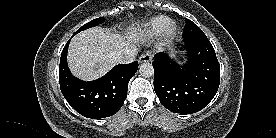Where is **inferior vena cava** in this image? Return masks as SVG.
I'll return each mask as SVG.
<instances>
[{
    "label": "inferior vena cava",
    "instance_id": "inferior-vena-cava-1",
    "mask_svg": "<svg viewBox=\"0 0 276 138\" xmlns=\"http://www.w3.org/2000/svg\"><path fill=\"white\" fill-rule=\"evenodd\" d=\"M136 54H137L136 48L126 47L119 50L115 54V60L117 63H120V64H129L134 61Z\"/></svg>",
    "mask_w": 276,
    "mask_h": 138
}]
</instances>
